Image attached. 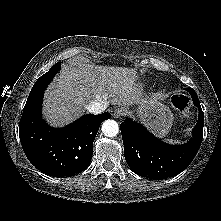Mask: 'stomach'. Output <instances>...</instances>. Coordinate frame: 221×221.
<instances>
[{
	"mask_svg": "<svg viewBox=\"0 0 221 221\" xmlns=\"http://www.w3.org/2000/svg\"><path fill=\"white\" fill-rule=\"evenodd\" d=\"M138 118L158 137H165L173 124V114L169 107L162 104L157 95L145 100L134 111Z\"/></svg>",
	"mask_w": 221,
	"mask_h": 221,
	"instance_id": "stomach-1",
	"label": "stomach"
}]
</instances>
